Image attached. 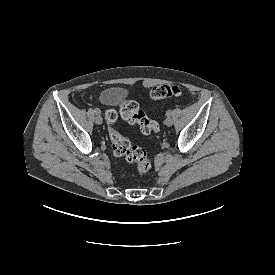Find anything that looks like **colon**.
<instances>
[{"mask_svg":"<svg viewBox=\"0 0 275 275\" xmlns=\"http://www.w3.org/2000/svg\"><path fill=\"white\" fill-rule=\"evenodd\" d=\"M181 95L182 89L174 84L158 85L150 92V96L154 100H162ZM121 113L123 118L128 122L137 124L145 135L156 134L160 130L159 124L151 119L139 108L137 103L132 100L122 101ZM105 118L109 123H113L117 119V112L113 109H107L105 112ZM109 136L112 142L113 152L116 156H122L128 162L135 163L139 175H145L150 171L152 164L144 149L133 147L130 141L113 127H109Z\"/></svg>","mask_w":275,"mask_h":275,"instance_id":"obj_1","label":"colon"}]
</instances>
